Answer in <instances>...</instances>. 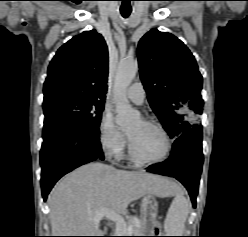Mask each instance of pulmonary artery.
Wrapping results in <instances>:
<instances>
[{"label": "pulmonary artery", "mask_w": 248, "mask_h": 237, "mask_svg": "<svg viewBox=\"0 0 248 237\" xmlns=\"http://www.w3.org/2000/svg\"><path fill=\"white\" fill-rule=\"evenodd\" d=\"M127 97L136 104H143L145 100V90L140 81L134 82L126 91Z\"/></svg>", "instance_id": "obj_1"}]
</instances>
